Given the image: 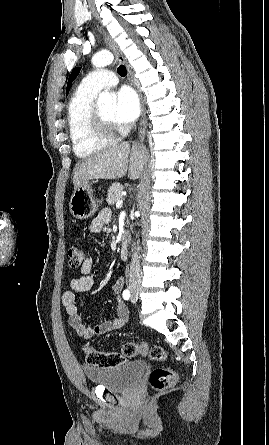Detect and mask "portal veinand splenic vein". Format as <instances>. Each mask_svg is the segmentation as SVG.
<instances>
[{
    "mask_svg": "<svg viewBox=\"0 0 269 445\" xmlns=\"http://www.w3.org/2000/svg\"><path fill=\"white\" fill-rule=\"evenodd\" d=\"M122 205H123V202L121 200H118L117 203H116V207L117 208H121Z\"/></svg>",
    "mask_w": 269,
    "mask_h": 445,
    "instance_id": "obj_1",
    "label": "portal vein and splenic vein"
}]
</instances>
